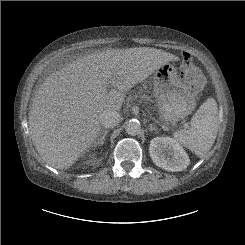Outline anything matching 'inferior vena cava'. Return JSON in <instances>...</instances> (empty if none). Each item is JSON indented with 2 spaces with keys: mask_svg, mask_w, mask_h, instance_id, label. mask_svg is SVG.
<instances>
[{
  "mask_svg": "<svg viewBox=\"0 0 245 245\" xmlns=\"http://www.w3.org/2000/svg\"><path fill=\"white\" fill-rule=\"evenodd\" d=\"M120 114L115 110H105L100 115V123L105 128H113L118 125Z\"/></svg>",
  "mask_w": 245,
  "mask_h": 245,
  "instance_id": "inferior-vena-cava-1",
  "label": "inferior vena cava"
}]
</instances>
